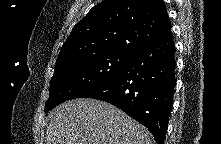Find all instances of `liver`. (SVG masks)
Instances as JSON below:
<instances>
[{
    "label": "liver",
    "mask_w": 221,
    "mask_h": 144,
    "mask_svg": "<svg viewBox=\"0 0 221 144\" xmlns=\"http://www.w3.org/2000/svg\"><path fill=\"white\" fill-rule=\"evenodd\" d=\"M48 121L46 144H152L148 129L117 107L96 99L62 103Z\"/></svg>",
    "instance_id": "1"
}]
</instances>
